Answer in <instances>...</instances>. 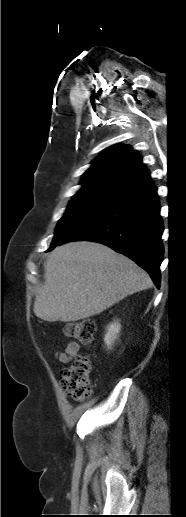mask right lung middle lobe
Instances as JSON below:
<instances>
[{
	"instance_id": "1",
	"label": "right lung middle lobe",
	"mask_w": 186,
	"mask_h": 517,
	"mask_svg": "<svg viewBox=\"0 0 186 517\" xmlns=\"http://www.w3.org/2000/svg\"><path fill=\"white\" fill-rule=\"evenodd\" d=\"M115 203L116 201L108 199L73 197L66 213L57 225L51 247L58 245L81 226L106 211Z\"/></svg>"
}]
</instances>
